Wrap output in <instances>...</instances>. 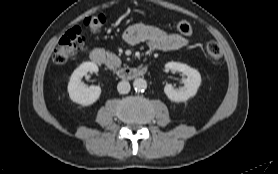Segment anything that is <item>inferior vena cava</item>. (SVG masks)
Instances as JSON below:
<instances>
[{
	"mask_svg": "<svg viewBox=\"0 0 278 174\" xmlns=\"http://www.w3.org/2000/svg\"><path fill=\"white\" fill-rule=\"evenodd\" d=\"M117 90L120 94H127L130 91V84L127 81H121L117 85Z\"/></svg>",
	"mask_w": 278,
	"mask_h": 174,
	"instance_id": "1",
	"label": "inferior vena cava"
}]
</instances>
